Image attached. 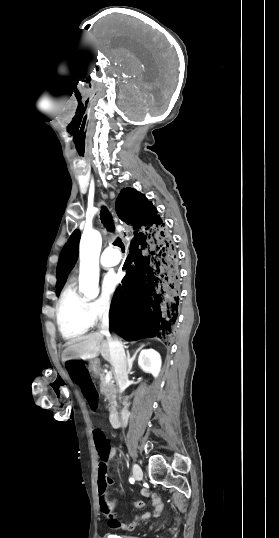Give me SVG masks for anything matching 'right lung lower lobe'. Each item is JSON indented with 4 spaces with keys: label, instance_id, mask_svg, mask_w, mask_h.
Wrapping results in <instances>:
<instances>
[{
    "label": "right lung lower lobe",
    "instance_id": "obj_1",
    "mask_svg": "<svg viewBox=\"0 0 279 538\" xmlns=\"http://www.w3.org/2000/svg\"><path fill=\"white\" fill-rule=\"evenodd\" d=\"M119 218L128 225L130 254L117 288L109 322L127 339L158 336L172 330L178 316L181 280L177 250L156 208L140 192L121 190Z\"/></svg>",
    "mask_w": 279,
    "mask_h": 538
}]
</instances>
